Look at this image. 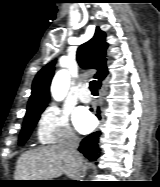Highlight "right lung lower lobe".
<instances>
[{"mask_svg": "<svg viewBox=\"0 0 160 187\" xmlns=\"http://www.w3.org/2000/svg\"><path fill=\"white\" fill-rule=\"evenodd\" d=\"M98 86H101V81L99 82ZM96 116L100 119V111H97ZM101 132L96 131L86 138H84L80 144L79 151L84 154L85 157H87L89 160H96L99 157L98 152L100 151L99 149V138H100ZM75 186H82L84 187L85 184H77Z\"/></svg>", "mask_w": 160, "mask_h": 187, "instance_id": "right-lung-lower-lobe-1", "label": "right lung lower lobe"}]
</instances>
